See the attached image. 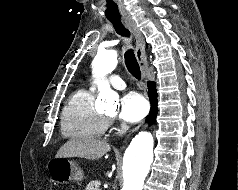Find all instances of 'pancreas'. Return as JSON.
<instances>
[{"label":"pancreas","instance_id":"obj_1","mask_svg":"<svg viewBox=\"0 0 238 190\" xmlns=\"http://www.w3.org/2000/svg\"><path fill=\"white\" fill-rule=\"evenodd\" d=\"M85 190H101L100 189V182L97 180L91 181L87 184Z\"/></svg>","mask_w":238,"mask_h":190}]
</instances>
